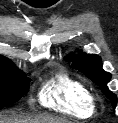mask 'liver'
<instances>
[{"label":"liver","instance_id":"6515ba94","mask_svg":"<svg viewBox=\"0 0 118 123\" xmlns=\"http://www.w3.org/2000/svg\"><path fill=\"white\" fill-rule=\"evenodd\" d=\"M0 123H70L68 120L50 116L47 114H37L32 116H22L12 114L10 116L0 115Z\"/></svg>","mask_w":118,"mask_h":123}]
</instances>
